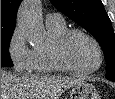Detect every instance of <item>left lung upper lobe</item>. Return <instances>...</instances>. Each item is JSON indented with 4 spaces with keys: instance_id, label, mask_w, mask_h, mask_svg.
I'll list each match as a JSON object with an SVG mask.
<instances>
[{
    "instance_id": "obj_1",
    "label": "left lung upper lobe",
    "mask_w": 115,
    "mask_h": 99,
    "mask_svg": "<svg viewBox=\"0 0 115 99\" xmlns=\"http://www.w3.org/2000/svg\"><path fill=\"white\" fill-rule=\"evenodd\" d=\"M67 17L91 33L104 52L108 80L115 82V34L101 0H50Z\"/></svg>"
}]
</instances>
